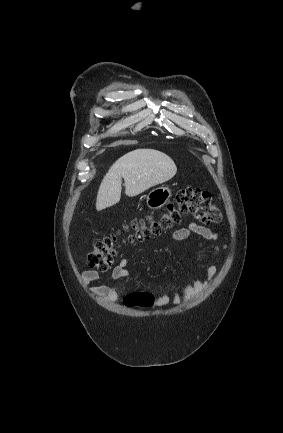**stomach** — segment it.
<instances>
[{
    "label": "stomach",
    "mask_w": 283,
    "mask_h": 433,
    "mask_svg": "<svg viewBox=\"0 0 283 433\" xmlns=\"http://www.w3.org/2000/svg\"><path fill=\"white\" fill-rule=\"evenodd\" d=\"M171 194V188L168 186H158L153 188L149 194H147L146 204L149 208H161L169 200Z\"/></svg>",
    "instance_id": "obj_1"
}]
</instances>
